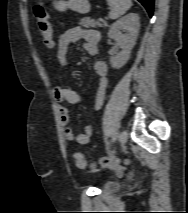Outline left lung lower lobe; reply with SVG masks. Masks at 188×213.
<instances>
[{
    "mask_svg": "<svg viewBox=\"0 0 188 213\" xmlns=\"http://www.w3.org/2000/svg\"><path fill=\"white\" fill-rule=\"evenodd\" d=\"M148 11L150 17L153 15L154 0H138Z\"/></svg>",
    "mask_w": 188,
    "mask_h": 213,
    "instance_id": "left-lung-lower-lobe-1",
    "label": "left lung lower lobe"
}]
</instances>
